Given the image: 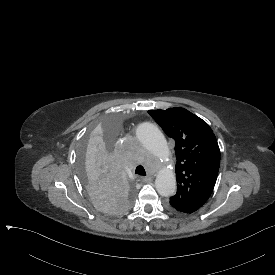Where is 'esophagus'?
I'll return each mask as SVG.
<instances>
[{"instance_id": "1", "label": "esophagus", "mask_w": 275, "mask_h": 275, "mask_svg": "<svg viewBox=\"0 0 275 275\" xmlns=\"http://www.w3.org/2000/svg\"><path fill=\"white\" fill-rule=\"evenodd\" d=\"M152 179L150 177H142L143 182H150Z\"/></svg>"}]
</instances>
